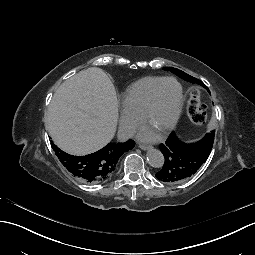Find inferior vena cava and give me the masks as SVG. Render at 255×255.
Returning <instances> with one entry per match:
<instances>
[{
	"mask_svg": "<svg viewBox=\"0 0 255 255\" xmlns=\"http://www.w3.org/2000/svg\"><path fill=\"white\" fill-rule=\"evenodd\" d=\"M136 133V129L134 126L122 125L118 130V140L120 142H125L129 138L133 137Z\"/></svg>",
	"mask_w": 255,
	"mask_h": 255,
	"instance_id": "1",
	"label": "inferior vena cava"
}]
</instances>
